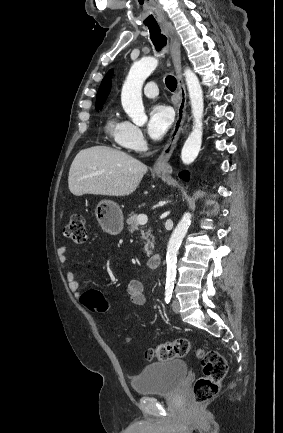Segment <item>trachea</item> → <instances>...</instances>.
I'll return each mask as SVG.
<instances>
[{
  "label": "trachea",
  "instance_id": "1",
  "mask_svg": "<svg viewBox=\"0 0 283 433\" xmlns=\"http://www.w3.org/2000/svg\"><path fill=\"white\" fill-rule=\"evenodd\" d=\"M148 29L150 32L151 41L154 44L155 49L157 50V52H161V50L167 45V38L161 33L159 25H148ZM165 83L167 88L171 92H174L176 90L177 80L172 75H168L165 78Z\"/></svg>",
  "mask_w": 283,
  "mask_h": 433
}]
</instances>
